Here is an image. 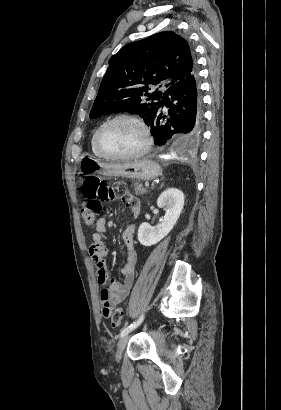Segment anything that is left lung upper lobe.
I'll list each match as a JSON object with an SVG mask.
<instances>
[{"label":"left lung upper lobe","instance_id":"5c2ea615","mask_svg":"<svg viewBox=\"0 0 281 410\" xmlns=\"http://www.w3.org/2000/svg\"><path fill=\"white\" fill-rule=\"evenodd\" d=\"M195 71L187 41L172 31L129 43L111 57L90 118L128 111L150 123L163 95L159 88L167 89Z\"/></svg>","mask_w":281,"mask_h":410}]
</instances>
